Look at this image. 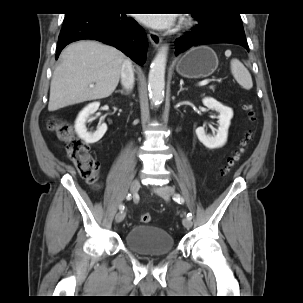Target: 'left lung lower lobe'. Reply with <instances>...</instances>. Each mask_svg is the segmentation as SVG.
Wrapping results in <instances>:
<instances>
[{"label": "left lung lower lobe", "instance_id": "0a47b994", "mask_svg": "<svg viewBox=\"0 0 303 303\" xmlns=\"http://www.w3.org/2000/svg\"><path fill=\"white\" fill-rule=\"evenodd\" d=\"M198 20L200 24L187 36L176 40V55L194 46L214 43L237 44L249 51L242 25H208L202 18Z\"/></svg>", "mask_w": 303, "mask_h": 303}]
</instances>
